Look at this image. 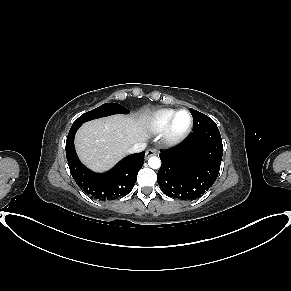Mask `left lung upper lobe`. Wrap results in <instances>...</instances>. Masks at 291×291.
I'll use <instances>...</instances> for the list:
<instances>
[{"label":"left lung upper lobe","mask_w":291,"mask_h":291,"mask_svg":"<svg viewBox=\"0 0 291 291\" xmlns=\"http://www.w3.org/2000/svg\"><path fill=\"white\" fill-rule=\"evenodd\" d=\"M189 111L191 112L194 120L193 131L203 129L211 125H216V123L208 116L191 108H189Z\"/></svg>","instance_id":"left-lung-upper-lobe-1"}]
</instances>
